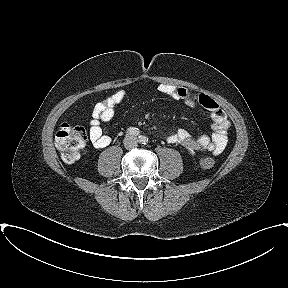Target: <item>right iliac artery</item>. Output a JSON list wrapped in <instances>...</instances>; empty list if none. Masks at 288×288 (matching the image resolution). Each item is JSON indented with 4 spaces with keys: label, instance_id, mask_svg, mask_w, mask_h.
<instances>
[{
    "label": "right iliac artery",
    "instance_id": "obj_1",
    "mask_svg": "<svg viewBox=\"0 0 288 288\" xmlns=\"http://www.w3.org/2000/svg\"><path fill=\"white\" fill-rule=\"evenodd\" d=\"M128 135H134V136H137L140 134V131L138 128H135V127H130L127 129V132H126Z\"/></svg>",
    "mask_w": 288,
    "mask_h": 288
}]
</instances>
